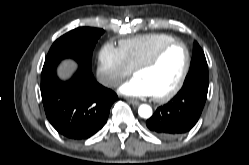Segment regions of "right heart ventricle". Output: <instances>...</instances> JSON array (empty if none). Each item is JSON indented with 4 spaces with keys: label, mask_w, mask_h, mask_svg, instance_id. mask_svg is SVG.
Here are the masks:
<instances>
[{
    "label": "right heart ventricle",
    "mask_w": 249,
    "mask_h": 165,
    "mask_svg": "<svg viewBox=\"0 0 249 165\" xmlns=\"http://www.w3.org/2000/svg\"><path fill=\"white\" fill-rule=\"evenodd\" d=\"M174 40V37L165 33H148L121 40L119 49L125 62L133 70L150 58L162 45Z\"/></svg>",
    "instance_id": "e07e8e85"
}]
</instances>
